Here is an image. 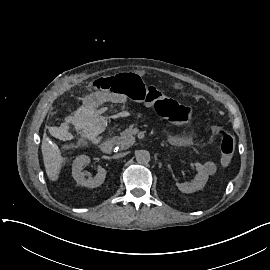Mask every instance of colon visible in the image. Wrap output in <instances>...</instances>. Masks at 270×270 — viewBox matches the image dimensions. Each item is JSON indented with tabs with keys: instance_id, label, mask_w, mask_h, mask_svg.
Segmentation results:
<instances>
[{
	"instance_id": "obj_1",
	"label": "colon",
	"mask_w": 270,
	"mask_h": 270,
	"mask_svg": "<svg viewBox=\"0 0 270 270\" xmlns=\"http://www.w3.org/2000/svg\"><path fill=\"white\" fill-rule=\"evenodd\" d=\"M95 85L99 89H108L112 93H120L134 101L154 107L161 117L178 125L187 122L191 116L186 104L163 95L156 87L143 82L134 72L118 74L114 78L99 76L95 80ZM215 139L220 151L219 162L225 168H230L234 164V159L230 155L235 150L233 135L225 129H219Z\"/></svg>"
}]
</instances>
